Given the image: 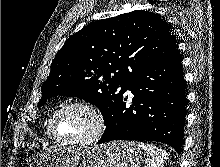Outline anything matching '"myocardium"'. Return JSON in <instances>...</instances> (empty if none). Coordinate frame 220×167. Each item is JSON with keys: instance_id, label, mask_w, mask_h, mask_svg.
I'll use <instances>...</instances> for the list:
<instances>
[{"instance_id": "myocardium-1", "label": "myocardium", "mask_w": 220, "mask_h": 167, "mask_svg": "<svg viewBox=\"0 0 220 167\" xmlns=\"http://www.w3.org/2000/svg\"><path fill=\"white\" fill-rule=\"evenodd\" d=\"M69 108H81L85 111H87L94 121V127L92 131L85 137L78 138V139H72V140H63L57 137L55 132V121L59 114L63 112L66 109ZM106 130V121L103 113L96 108L94 105L86 102V101H70L63 105H61L51 116L48 124V131L50 134V137L55 141L57 144L63 145V146H86L93 144L101 139L103 134Z\"/></svg>"}]
</instances>
